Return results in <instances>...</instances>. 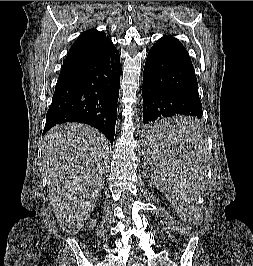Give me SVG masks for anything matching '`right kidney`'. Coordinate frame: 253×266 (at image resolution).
<instances>
[{
    "label": "right kidney",
    "instance_id": "right-kidney-1",
    "mask_svg": "<svg viewBox=\"0 0 253 266\" xmlns=\"http://www.w3.org/2000/svg\"><path fill=\"white\" fill-rule=\"evenodd\" d=\"M95 223H96V220H92V221L90 222L89 228H93L94 225H95Z\"/></svg>",
    "mask_w": 253,
    "mask_h": 266
}]
</instances>
